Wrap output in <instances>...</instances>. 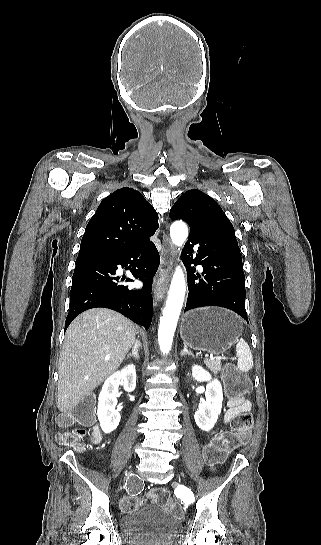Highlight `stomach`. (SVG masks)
I'll return each instance as SVG.
<instances>
[{
    "label": "stomach",
    "mask_w": 321,
    "mask_h": 545,
    "mask_svg": "<svg viewBox=\"0 0 321 545\" xmlns=\"http://www.w3.org/2000/svg\"><path fill=\"white\" fill-rule=\"evenodd\" d=\"M242 331L240 317L221 307H203L188 311L180 327L184 345L195 351H208L215 355L230 349Z\"/></svg>",
    "instance_id": "stomach-1"
}]
</instances>
